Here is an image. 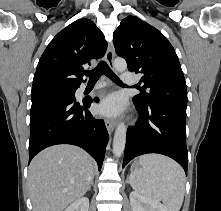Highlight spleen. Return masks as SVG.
Returning <instances> with one entry per match:
<instances>
[{
  "instance_id": "spleen-1",
  "label": "spleen",
  "mask_w": 221,
  "mask_h": 211,
  "mask_svg": "<svg viewBox=\"0 0 221 211\" xmlns=\"http://www.w3.org/2000/svg\"><path fill=\"white\" fill-rule=\"evenodd\" d=\"M140 168L129 176L132 188L153 200L162 201L169 211H179L185 194V173L174 160L159 154L139 158Z\"/></svg>"
}]
</instances>
